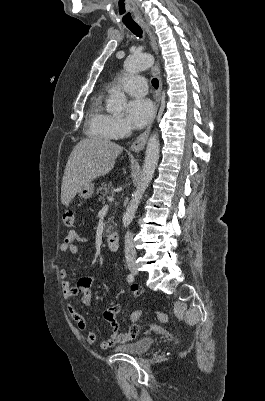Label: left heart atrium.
Masks as SVG:
<instances>
[{
	"label": "left heart atrium",
	"instance_id": "1",
	"mask_svg": "<svg viewBox=\"0 0 265 401\" xmlns=\"http://www.w3.org/2000/svg\"><path fill=\"white\" fill-rule=\"evenodd\" d=\"M153 114L152 104L149 100L143 99L137 101L130 100L126 106V115L134 128H142L151 119Z\"/></svg>",
	"mask_w": 265,
	"mask_h": 401
}]
</instances>
